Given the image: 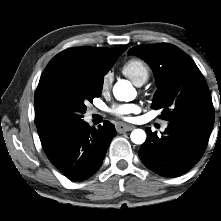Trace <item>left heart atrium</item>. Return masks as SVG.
Listing matches in <instances>:
<instances>
[{"instance_id": "obj_1", "label": "left heart atrium", "mask_w": 221, "mask_h": 221, "mask_svg": "<svg viewBox=\"0 0 221 221\" xmlns=\"http://www.w3.org/2000/svg\"><path fill=\"white\" fill-rule=\"evenodd\" d=\"M138 111V106L135 104H123L115 106L112 109V113L120 118L127 119L133 113Z\"/></svg>"}]
</instances>
